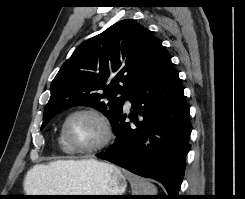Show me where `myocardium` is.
<instances>
[{"label":"myocardium","mask_w":245,"mask_h":199,"mask_svg":"<svg viewBox=\"0 0 245 199\" xmlns=\"http://www.w3.org/2000/svg\"><path fill=\"white\" fill-rule=\"evenodd\" d=\"M83 114L84 115H91L95 119H97L98 122L102 125L103 132H104V136H103V139L101 140V142H99L97 145H95L93 147H89V148H80V147L76 146L72 142V140L70 139L69 134H68V130H67L70 120L77 115H83ZM61 132H62V135H63L65 142L67 143L69 148L72 150V152L76 153V154H81V155H92V154H97V153L101 152L102 150H104L105 148H107L110 145V143L112 142L113 137H114L113 128H112L111 122L108 119V117L103 112H101L95 108H90V107L78 108V109L71 111L66 116V118L62 124Z\"/></svg>","instance_id":"1"}]
</instances>
